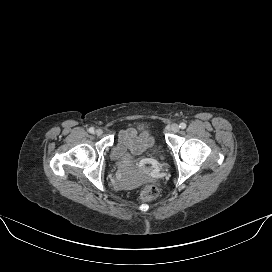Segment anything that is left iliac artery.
I'll use <instances>...</instances> for the list:
<instances>
[{
  "label": "left iliac artery",
  "mask_w": 272,
  "mask_h": 272,
  "mask_svg": "<svg viewBox=\"0 0 272 272\" xmlns=\"http://www.w3.org/2000/svg\"><path fill=\"white\" fill-rule=\"evenodd\" d=\"M179 127H180L181 129H185V128H186V124H185L184 122H182V123H180Z\"/></svg>",
  "instance_id": "1"
}]
</instances>
